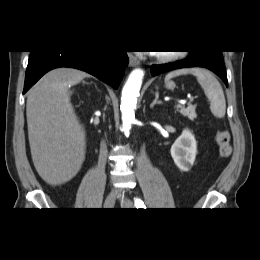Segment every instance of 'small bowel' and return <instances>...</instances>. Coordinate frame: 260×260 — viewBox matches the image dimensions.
Masks as SVG:
<instances>
[{"label":"small bowel","instance_id":"obj_1","mask_svg":"<svg viewBox=\"0 0 260 260\" xmlns=\"http://www.w3.org/2000/svg\"><path fill=\"white\" fill-rule=\"evenodd\" d=\"M216 141L219 146L220 155L222 157H227L231 153L229 134L225 131L219 132L216 136Z\"/></svg>","mask_w":260,"mask_h":260}]
</instances>
